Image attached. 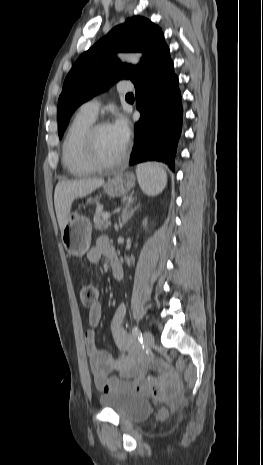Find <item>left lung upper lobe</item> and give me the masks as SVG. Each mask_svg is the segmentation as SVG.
<instances>
[{"label":"left lung upper lobe","mask_w":263,"mask_h":465,"mask_svg":"<svg viewBox=\"0 0 263 465\" xmlns=\"http://www.w3.org/2000/svg\"><path fill=\"white\" fill-rule=\"evenodd\" d=\"M165 44L158 26L144 17L135 16L113 28L84 52L68 73L58 100L59 138L79 105L121 79L132 81ZM117 52H141L144 56L137 66H132L122 64L116 58Z\"/></svg>","instance_id":"5c2ea615"}]
</instances>
